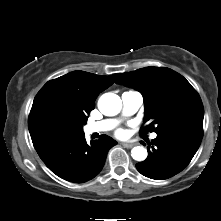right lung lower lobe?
I'll list each match as a JSON object with an SVG mask.
<instances>
[{"mask_svg": "<svg viewBox=\"0 0 221 221\" xmlns=\"http://www.w3.org/2000/svg\"><path fill=\"white\" fill-rule=\"evenodd\" d=\"M107 135L88 144L84 132L47 138L34 143L39 157L57 176L82 183L94 178L103 168L108 150L116 145Z\"/></svg>", "mask_w": 221, "mask_h": 221, "instance_id": "right-lung-lower-lobe-1", "label": "right lung lower lobe"}]
</instances>
